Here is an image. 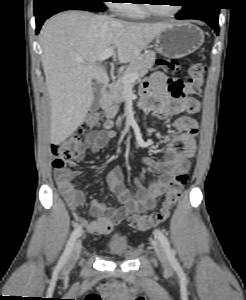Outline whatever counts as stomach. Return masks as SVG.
<instances>
[{
    "label": "stomach",
    "instance_id": "0dacf381",
    "mask_svg": "<svg viewBox=\"0 0 246 300\" xmlns=\"http://www.w3.org/2000/svg\"><path fill=\"white\" fill-rule=\"evenodd\" d=\"M204 43V33L196 25L181 21L168 25L155 38V49L168 58H182Z\"/></svg>",
    "mask_w": 246,
    "mask_h": 300
}]
</instances>
